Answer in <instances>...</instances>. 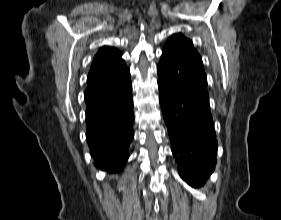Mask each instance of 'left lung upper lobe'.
Returning <instances> with one entry per match:
<instances>
[{
    "mask_svg": "<svg viewBox=\"0 0 281 220\" xmlns=\"http://www.w3.org/2000/svg\"><path fill=\"white\" fill-rule=\"evenodd\" d=\"M175 51H184L200 57L197 50L194 49L193 43L180 33L172 35L163 47V53Z\"/></svg>",
    "mask_w": 281,
    "mask_h": 220,
    "instance_id": "5c2ea615",
    "label": "left lung upper lobe"
}]
</instances>
